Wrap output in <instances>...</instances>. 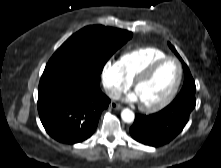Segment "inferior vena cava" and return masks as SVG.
I'll return each mask as SVG.
<instances>
[{
	"instance_id": "inferior-vena-cava-1",
	"label": "inferior vena cava",
	"mask_w": 221,
	"mask_h": 168,
	"mask_svg": "<svg viewBox=\"0 0 221 168\" xmlns=\"http://www.w3.org/2000/svg\"><path fill=\"white\" fill-rule=\"evenodd\" d=\"M106 94L111 98V99H118L120 97V93L116 91L115 89L109 88L106 90Z\"/></svg>"
}]
</instances>
